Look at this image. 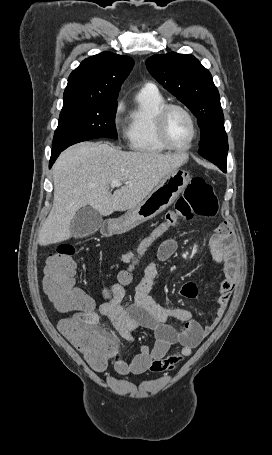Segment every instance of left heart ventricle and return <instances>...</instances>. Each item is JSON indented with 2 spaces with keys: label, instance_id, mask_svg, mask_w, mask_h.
<instances>
[{
  "label": "left heart ventricle",
  "instance_id": "obj_1",
  "mask_svg": "<svg viewBox=\"0 0 272 455\" xmlns=\"http://www.w3.org/2000/svg\"><path fill=\"white\" fill-rule=\"evenodd\" d=\"M166 128L170 141L176 146H186L192 137L191 123L188 117L178 109L169 112Z\"/></svg>",
  "mask_w": 272,
  "mask_h": 455
}]
</instances>
